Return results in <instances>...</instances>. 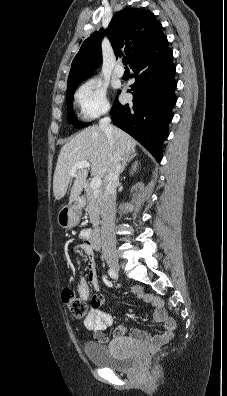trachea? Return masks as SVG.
<instances>
[{
    "instance_id": "obj_1",
    "label": "trachea",
    "mask_w": 227,
    "mask_h": 396,
    "mask_svg": "<svg viewBox=\"0 0 227 396\" xmlns=\"http://www.w3.org/2000/svg\"><path fill=\"white\" fill-rule=\"evenodd\" d=\"M122 62H123V64L126 66V65H127V58L124 57L123 60H122Z\"/></svg>"
}]
</instances>
